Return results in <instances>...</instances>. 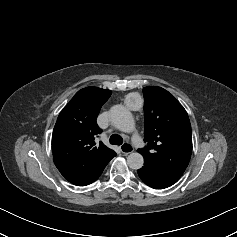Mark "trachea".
Segmentation results:
<instances>
[{
  "instance_id": "obj_1",
  "label": "trachea",
  "mask_w": 237,
  "mask_h": 237,
  "mask_svg": "<svg viewBox=\"0 0 237 237\" xmlns=\"http://www.w3.org/2000/svg\"><path fill=\"white\" fill-rule=\"evenodd\" d=\"M110 143L113 145H121L123 143V139L119 135L113 134L110 137Z\"/></svg>"
}]
</instances>
